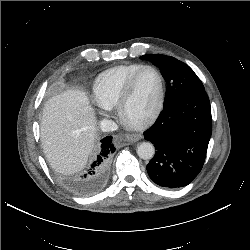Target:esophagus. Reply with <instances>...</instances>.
I'll return each instance as SVG.
<instances>
[{
    "mask_svg": "<svg viewBox=\"0 0 250 250\" xmlns=\"http://www.w3.org/2000/svg\"><path fill=\"white\" fill-rule=\"evenodd\" d=\"M142 136L140 134H127L126 135V140L130 143H134L138 140H140Z\"/></svg>",
    "mask_w": 250,
    "mask_h": 250,
    "instance_id": "esophagus-1",
    "label": "esophagus"
}]
</instances>
